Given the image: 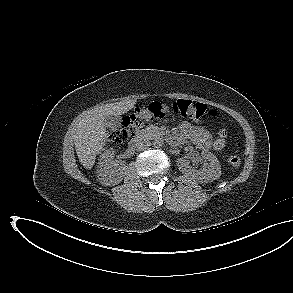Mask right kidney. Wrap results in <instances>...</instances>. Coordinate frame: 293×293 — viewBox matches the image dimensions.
I'll return each mask as SVG.
<instances>
[{
    "instance_id": "1",
    "label": "right kidney",
    "mask_w": 293,
    "mask_h": 293,
    "mask_svg": "<svg viewBox=\"0 0 293 293\" xmlns=\"http://www.w3.org/2000/svg\"><path fill=\"white\" fill-rule=\"evenodd\" d=\"M97 177L104 185L117 184L126 168L124 161L114 160V151L106 150L99 159Z\"/></svg>"
}]
</instances>
